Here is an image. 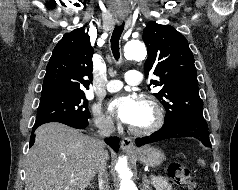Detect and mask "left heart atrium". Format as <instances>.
<instances>
[{
  "label": "left heart atrium",
  "instance_id": "1",
  "mask_svg": "<svg viewBox=\"0 0 238 190\" xmlns=\"http://www.w3.org/2000/svg\"><path fill=\"white\" fill-rule=\"evenodd\" d=\"M139 101L132 95H124L114 99L110 103V109L117 118L127 124H131L137 114Z\"/></svg>",
  "mask_w": 238,
  "mask_h": 190
}]
</instances>
